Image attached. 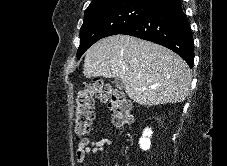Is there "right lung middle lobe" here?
<instances>
[{"label":"right lung middle lobe","instance_id":"1","mask_svg":"<svg viewBox=\"0 0 227 166\" xmlns=\"http://www.w3.org/2000/svg\"><path fill=\"white\" fill-rule=\"evenodd\" d=\"M154 6L128 2L112 5L85 13L80 29V46L78 59L96 41L111 35L119 34L148 14Z\"/></svg>","mask_w":227,"mask_h":166}]
</instances>
